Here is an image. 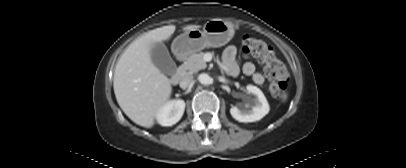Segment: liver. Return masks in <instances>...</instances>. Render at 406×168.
I'll return each instance as SVG.
<instances>
[{
    "instance_id": "6515ba94",
    "label": "liver",
    "mask_w": 406,
    "mask_h": 168,
    "mask_svg": "<svg viewBox=\"0 0 406 168\" xmlns=\"http://www.w3.org/2000/svg\"><path fill=\"white\" fill-rule=\"evenodd\" d=\"M188 25L184 31L198 29ZM174 25L151 30L132 42L119 58L114 72L113 87L123 112L136 124L151 128L160 109L168 102L171 82L152 62L151 49L174 33Z\"/></svg>"
}]
</instances>
